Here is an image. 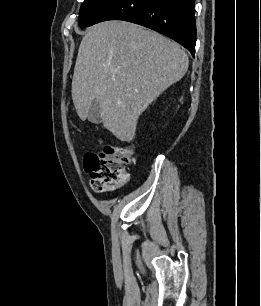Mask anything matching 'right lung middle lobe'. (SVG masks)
<instances>
[{
	"instance_id": "obj_1",
	"label": "right lung middle lobe",
	"mask_w": 261,
	"mask_h": 306,
	"mask_svg": "<svg viewBox=\"0 0 261 306\" xmlns=\"http://www.w3.org/2000/svg\"><path fill=\"white\" fill-rule=\"evenodd\" d=\"M114 0H85L80 8L79 26L87 27Z\"/></svg>"
}]
</instances>
